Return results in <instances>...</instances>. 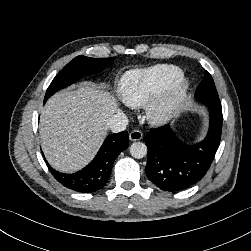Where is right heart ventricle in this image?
Wrapping results in <instances>:
<instances>
[{
    "instance_id": "1",
    "label": "right heart ventricle",
    "mask_w": 251,
    "mask_h": 251,
    "mask_svg": "<svg viewBox=\"0 0 251 251\" xmlns=\"http://www.w3.org/2000/svg\"><path fill=\"white\" fill-rule=\"evenodd\" d=\"M183 76L182 70L170 64H158L144 69L130 70L118 83L121 100L130 107L150 102Z\"/></svg>"
}]
</instances>
